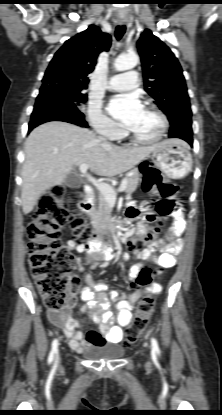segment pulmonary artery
<instances>
[{"label": "pulmonary artery", "instance_id": "e3ab8cb5", "mask_svg": "<svg viewBox=\"0 0 222 415\" xmlns=\"http://www.w3.org/2000/svg\"><path fill=\"white\" fill-rule=\"evenodd\" d=\"M138 84V74L136 71L132 70L111 76L105 87L109 90L129 91L136 88Z\"/></svg>", "mask_w": 222, "mask_h": 415}]
</instances>
